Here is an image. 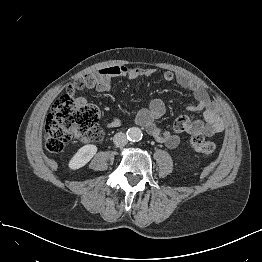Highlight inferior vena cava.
<instances>
[{"label": "inferior vena cava", "instance_id": "602c4592", "mask_svg": "<svg viewBox=\"0 0 262 262\" xmlns=\"http://www.w3.org/2000/svg\"><path fill=\"white\" fill-rule=\"evenodd\" d=\"M113 142L117 147H124L128 142L126 134L123 132L116 133Z\"/></svg>", "mask_w": 262, "mask_h": 262}]
</instances>
